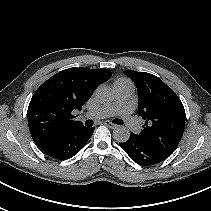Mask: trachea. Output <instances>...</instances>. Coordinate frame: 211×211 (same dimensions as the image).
I'll return each mask as SVG.
<instances>
[{
    "instance_id": "1",
    "label": "trachea",
    "mask_w": 211,
    "mask_h": 211,
    "mask_svg": "<svg viewBox=\"0 0 211 211\" xmlns=\"http://www.w3.org/2000/svg\"><path fill=\"white\" fill-rule=\"evenodd\" d=\"M113 123L117 124V125H122L123 121L121 119H114ZM93 122L91 120H87L85 122L86 126H92Z\"/></svg>"
}]
</instances>
